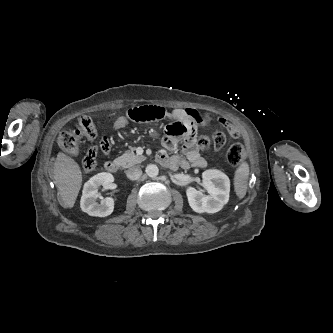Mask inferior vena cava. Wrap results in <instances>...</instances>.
Returning a JSON list of instances; mask_svg holds the SVG:
<instances>
[{
    "instance_id": "inferior-vena-cava-1",
    "label": "inferior vena cava",
    "mask_w": 333,
    "mask_h": 333,
    "mask_svg": "<svg viewBox=\"0 0 333 333\" xmlns=\"http://www.w3.org/2000/svg\"><path fill=\"white\" fill-rule=\"evenodd\" d=\"M142 175V170L139 167H131L126 171V176L130 180H138Z\"/></svg>"
}]
</instances>
